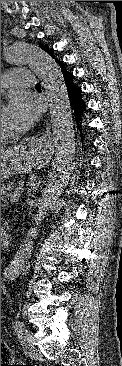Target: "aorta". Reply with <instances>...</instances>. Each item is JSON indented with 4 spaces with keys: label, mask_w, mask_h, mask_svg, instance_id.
<instances>
[{
    "label": "aorta",
    "mask_w": 122,
    "mask_h": 366,
    "mask_svg": "<svg viewBox=\"0 0 122 366\" xmlns=\"http://www.w3.org/2000/svg\"><path fill=\"white\" fill-rule=\"evenodd\" d=\"M6 62L11 66H28L42 81L50 105V122L55 143V156L48 175L32 228L14 257L19 273L33 247L37 229L51 206L65 190L75 168V134L67 88L57 63L40 47L17 42L4 49Z\"/></svg>",
    "instance_id": "1"
}]
</instances>
